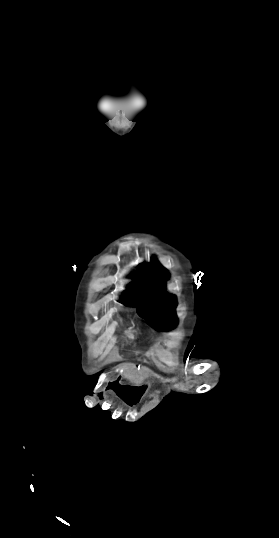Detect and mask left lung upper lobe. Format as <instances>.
<instances>
[{
	"label": "left lung upper lobe",
	"mask_w": 279,
	"mask_h": 538,
	"mask_svg": "<svg viewBox=\"0 0 279 538\" xmlns=\"http://www.w3.org/2000/svg\"><path fill=\"white\" fill-rule=\"evenodd\" d=\"M134 278L140 282L131 284L119 301L127 306H136L137 313L151 326L167 330L177 325L174 309L177 303L165 291L167 275L163 266L153 258L150 264H141Z\"/></svg>",
	"instance_id": "left-lung-upper-lobe-1"
}]
</instances>
